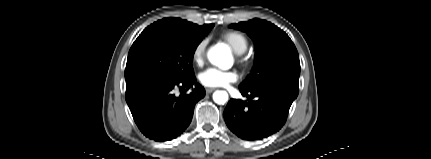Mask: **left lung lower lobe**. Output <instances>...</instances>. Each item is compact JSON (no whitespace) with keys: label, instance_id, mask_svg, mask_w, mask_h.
<instances>
[{"label":"left lung lower lobe","instance_id":"0a47b994","mask_svg":"<svg viewBox=\"0 0 431 159\" xmlns=\"http://www.w3.org/2000/svg\"><path fill=\"white\" fill-rule=\"evenodd\" d=\"M247 101L231 99L225 110L228 128L245 140H259L279 131L284 125L299 89L271 83L260 88H239Z\"/></svg>","mask_w":431,"mask_h":159}]
</instances>
